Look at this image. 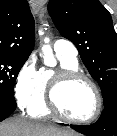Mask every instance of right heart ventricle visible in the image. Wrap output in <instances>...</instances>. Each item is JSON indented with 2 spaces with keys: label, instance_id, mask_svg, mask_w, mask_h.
<instances>
[{
  "label": "right heart ventricle",
  "instance_id": "obj_1",
  "mask_svg": "<svg viewBox=\"0 0 117 136\" xmlns=\"http://www.w3.org/2000/svg\"><path fill=\"white\" fill-rule=\"evenodd\" d=\"M59 62H60V70L62 69H69V70H77L78 69V61L70 60L60 55H57ZM41 75V87L40 93L35 100L28 107V113L37 118H43L50 116L51 112L47 106V92L49 89V85L51 82L52 77L54 76V71L50 69H42L40 70Z\"/></svg>",
  "mask_w": 117,
  "mask_h": 136
}]
</instances>
